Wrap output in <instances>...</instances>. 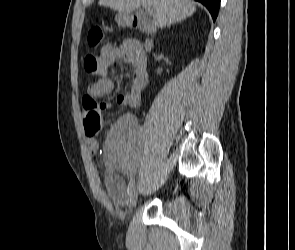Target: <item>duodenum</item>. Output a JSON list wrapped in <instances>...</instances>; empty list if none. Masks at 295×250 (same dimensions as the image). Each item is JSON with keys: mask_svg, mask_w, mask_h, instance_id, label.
<instances>
[{"mask_svg": "<svg viewBox=\"0 0 295 250\" xmlns=\"http://www.w3.org/2000/svg\"><path fill=\"white\" fill-rule=\"evenodd\" d=\"M125 21L128 22L131 28L138 29L147 34L148 37L144 42V52L151 50L154 45V24L150 20L136 15H127ZM140 75L143 79L147 77L145 53L141 58Z\"/></svg>", "mask_w": 295, "mask_h": 250, "instance_id": "obj_1", "label": "duodenum"}]
</instances>
